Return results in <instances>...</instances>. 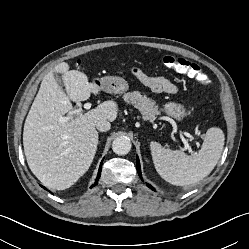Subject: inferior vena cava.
Returning a JSON list of instances; mask_svg holds the SVG:
<instances>
[{
  "label": "inferior vena cava",
  "instance_id": "inferior-vena-cava-1",
  "mask_svg": "<svg viewBox=\"0 0 249 249\" xmlns=\"http://www.w3.org/2000/svg\"><path fill=\"white\" fill-rule=\"evenodd\" d=\"M96 127H97V129H98L99 131H101V132H106V131L110 130L111 124H110V122L107 121L106 119H102V120H100V121H98V122L96 123Z\"/></svg>",
  "mask_w": 249,
  "mask_h": 249
}]
</instances>
